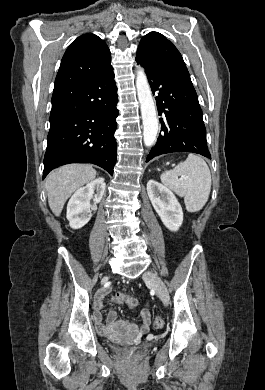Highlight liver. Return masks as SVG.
I'll use <instances>...</instances> for the list:
<instances>
[{"instance_id": "6515ba94", "label": "liver", "mask_w": 265, "mask_h": 390, "mask_svg": "<svg viewBox=\"0 0 265 390\" xmlns=\"http://www.w3.org/2000/svg\"><path fill=\"white\" fill-rule=\"evenodd\" d=\"M96 170L86 164H69L52 171L45 188L50 209L60 216L67 199L80 187L94 180Z\"/></svg>"}]
</instances>
